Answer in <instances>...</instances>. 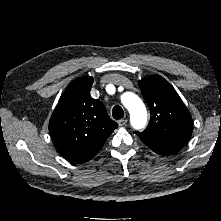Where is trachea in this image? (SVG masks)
<instances>
[{"label":"trachea","instance_id":"obj_1","mask_svg":"<svg viewBox=\"0 0 221 221\" xmlns=\"http://www.w3.org/2000/svg\"><path fill=\"white\" fill-rule=\"evenodd\" d=\"M112 116L114 119H121L124 116L123 109L119 105L114 106L112 109Z\"/></svg>","mask_w":221,"mask_h":221}]
</instances>
